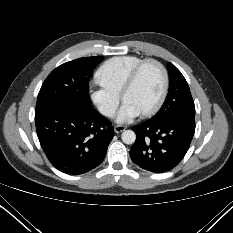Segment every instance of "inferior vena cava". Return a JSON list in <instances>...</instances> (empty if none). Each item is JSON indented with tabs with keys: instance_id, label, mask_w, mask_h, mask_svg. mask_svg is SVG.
Segmentation results:
<instances>
[{
	"instance_id": "1",
	"label": "inferior vena cava",
	"mask_w": 233,
	"mask_h": 233,
	"mask_svg": "<svg viewBox=\"0 0 233 233\" xmlns=\"http://www.w3.org/2000/svg\"><path fill=\"white\" fill-rule=\"evenodd\" d=\"M99 111L101 114L108 116V117H112L115 113V109L113 107L108 106V105H100Z\"/></svg>"
}]
</instances>
